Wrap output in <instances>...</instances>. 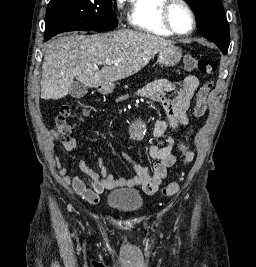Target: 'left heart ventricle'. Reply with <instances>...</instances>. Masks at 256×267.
<instances>
[{"instance_id": "b2bd125f", "label": "left heart ventricle", "mask_w": 256, "mask_h": 267, "mask_svg": "<svg viewBox=\"0 0 256 267\" xmlns=\"http://www.w3.org/2000/svg\"><path fill=\"white\" fill-rule=\"evenodd\" d=\"M169 16L177 31L186 33L191 28V18L186 9L179 4H172Z\"/></svg>"}]
</instances>
